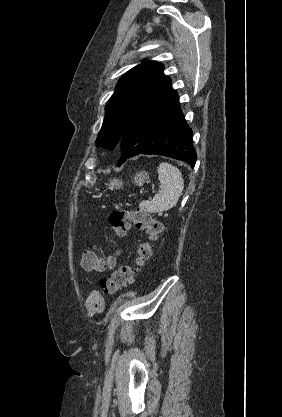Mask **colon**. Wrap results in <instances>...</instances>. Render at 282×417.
I'll return each instance as SVG.
<instances>
[{"label":"colon","mask_w":282,"mask_h":417,"mask_svg":"<svg viewBox=\"0 0 282 417\" xmlns=\"http://www.w3.org/2000/svg\"><path fill=\"white\" fill-rule=\"evenodd\" d=\"M109 223L118 235H125L136 226L145 232L146 239L137 243L135 256L130 264L121 265L111 277L100 281V287L106 296H112L132 283L134 272L151 257L152 247L163 232L162 224L149 212L139 208L115 209L109 216ZM80 262L88 271H102L111 266V259L101 258L90 251L81 254Z\"/></svg>","instance_id":"5ec220e1"}]
</instances>
